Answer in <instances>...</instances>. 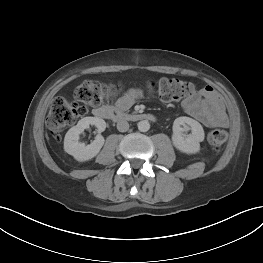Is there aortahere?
Listing matches in <instances>:
<instances>
[{
    "label": "aorta",
    "instance_id": "aorta-1",
    "mask_svg": "<svg viewBox=\"0 0 263 263\" xmlns=\"http://www.w3.org/2000/svg\"><path fill=\"white\" fill-rule=\"evenodd\" d=\"M137 126L141 132H147L150 129V123L147 120L139 121Z\"/></svg>",
    "mask_w": 263,
    "mask_h": 263
}]
</instances>
